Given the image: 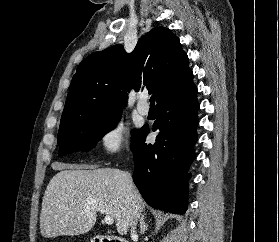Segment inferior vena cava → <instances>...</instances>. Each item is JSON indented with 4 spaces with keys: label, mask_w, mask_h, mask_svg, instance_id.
<instances>
[{
    "label": "inferior vena cava",
    "mask_w": 279,
    "mask_h": 242,
    "mask_svg": "<svg viewBox=\"0 0 279 242\" xmlns=\"http://www.w3.org/2000/svg\"><path fill=\"white\" fill-rule=\"evenodd\" d=\"M131 178V177H130ZM133 185L132 179H130V186ZM139 215L136 214V216L131 220L130 223V227H131V237L134 238L137 236V232H136V225H137V217Z\"/></svg>",
    "instance_id": "obj_1"
}]
</instances>
